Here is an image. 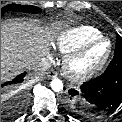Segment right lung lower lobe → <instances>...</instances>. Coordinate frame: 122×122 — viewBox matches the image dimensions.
<instances>
[{
    "label": "right lung lower lobe",
    "instance_id": "1",
    "mask_svg": "<svg viewBox=\"0 0 122 122\" xmlns=\"http://www.w3.org/2000/svg\"><path fill=\"white\" fill-rule=\"evenodd\" d=\"M23 78H24V74H20L18 77H16L15 79H13L12 81L10 82H7L6 84H3L1 85L2 86H5L7 84H12V83H20V82H23ZM23 99H24V93H21L20 94V97L18 98L17 102L15 103V108L13 110V113L11 112L10 115H15L17 112L15 110H18L22 103H23Z\"/></svg>",
    "mask_w": 122,
    "mask_h": 122
}]
</instances>
